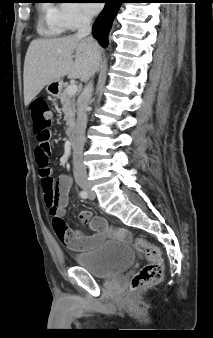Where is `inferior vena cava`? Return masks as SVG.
<instances>
[{
    "instance_id": "1",
    "label": "inferior vena cava",
    "mask_w": 213,
    "mask_h": 338,
    "mask_svg": "<svg viewBox=\"0 0 213 338\" xmlns=\"http://www.w3.org/2000/svg\"><path fill=\"white\" fill-rule=\"evenodd\" d=\"M91 19L83 16L76 34L79 38L93 39ZM92 96V83L90 82L79 97L75 138L73 142V173L75 180H86L87 171L83 164V148L85 142V129L87 125V107Z\"/></svg>"
}]
</instances>
